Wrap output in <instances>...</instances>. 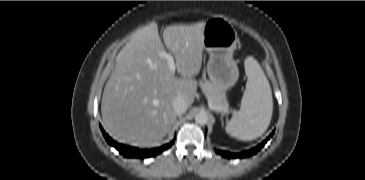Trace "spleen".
Masks as SVG:
<instances>
[{"instance_id":"1","label":"spleen","mask_w":365,"mask_h":180,"mask_svg":"<svg viewBox=\"0 0 365 180\" xmlns=\"http://www.w3.org/2000/svg\"><path fill=\"white\" fill-rule=\"evenodd\" d=\"M248 77L240 110L227 123L226 132L240 140H254L269 127L273 100L270 84L256 59L249 56L244 61Z\"/></svg>"}]
</instances>
